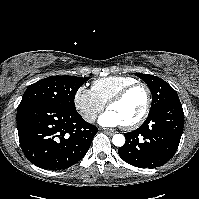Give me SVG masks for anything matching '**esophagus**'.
<instances>
[{"label": "esophagus", "mask_w": 199, "mask_h": 199, "mask_svg": "<svg viewBox=\"0 0 199 199\" xmlns=\"http://www.w3.org/2000/svg\"><path fill=\"white\" fill-rule=\"evenodd\" d=\"M105 133L109 134V135H114L115 131L110 130V129H103Z\"/></svg>", "instance_id": "esophagus-1"}]
</instances>
